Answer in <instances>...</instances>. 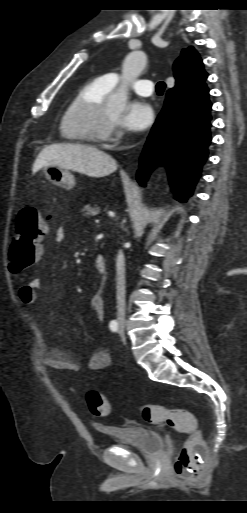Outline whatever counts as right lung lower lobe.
<instances>
[{"instance_id": "1", "label": "right lung lower lobe", "mask_w": 247, "mask_h": 513, "mask_svg": "<svg viewBox=\"0 0 247 513\" xmlns=\"http://www.w3.org/2000/svg\"><path fill=\"white\" fill-rule=\"evenodd\" d=\"M211 108L205 83L193 91L167 92L141 156L137 180L142 186L153 168L164 164L176 198L185 201L192 195L208 155Z\"/></svg>"}]
</instances>
